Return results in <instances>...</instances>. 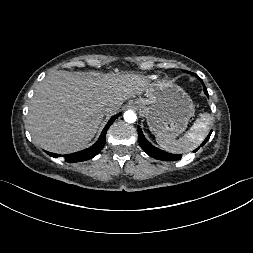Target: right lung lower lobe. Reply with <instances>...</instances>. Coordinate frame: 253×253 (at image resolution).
<instances>
[{
    "label": "right lung lower lobe",
    "instance_id": "obj_1",
    "mask_svg": "<svg viewBox=\"0 0 253 253\" xmlns=\"http://www.w3.org/2000/svg\"><path fill=\"white\" fill-rule=\"evenodd\" d=\"M120 115L121 114H117L109 120V122L107 123V125L103 129L98 141L93 146H91L85 150L76 152V153L63 155L65 160L67 162H81V161H85V160L91 159L94 156H96L103 149V147L105 145V136H106V132H107L108 128L115 121V119L118 118ZM46 153H48L52 157L61 156V155H58L55 153H50V152H46Z\"/></svg>",
    "mask_w": 253,
    "mask_h": 253
}]
</instances>
